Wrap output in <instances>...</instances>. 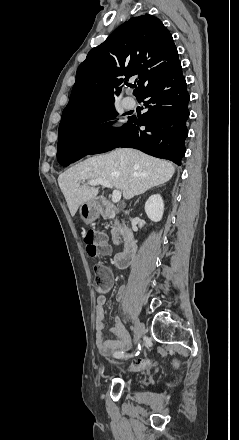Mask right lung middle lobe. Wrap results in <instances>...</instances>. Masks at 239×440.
I'll return each mask as SVG.
<instances>
[{"instance_id":"obj_1","label":"right lung middle lobe","mask_w":239,"mask_h":440,"mask_svg":"<svg viewBox=\"0 0 239 440\" xmlns=\"http://www.w3.org/2000/svg\"><path fill=\"white\" fill-rule=\"evenodd\" d=\"M114 101L96 111L66 120L59 125L58 150L62 147L85 144L91 145L106 134L116 130L111 125L117 113Z\"/></svg>"}]
</instances>
